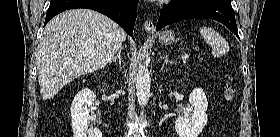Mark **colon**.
Here are the masks:
<instances>
[{
    "mask_svg": "<svg viewBox=\"0 0 280 137\" xmlns=\"http://www.w3.org/2000/svg\"><path fill=\"white\" fill-rule=\"evenodd\" d=\"M226 95H227L228 98H231V96H232V90H231V88H227V90H226Z\"/></svg>",
    "mask_w": 280,
    "mask_h": 137,
    "instance_id": "colon-1",
    "label": "colon"
}]
</instances>
